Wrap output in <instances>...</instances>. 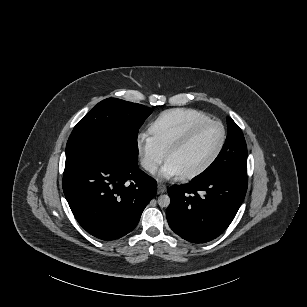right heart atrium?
<instances>
[{"label":"right heart atrium","instance_id":"d8ad5b80","mask_svg":"<svg viewBox=\"0 0 307 307\" xmlns=\"http://www.w3.org/2000/svg\"><path fill=\"white\" fill-rule=\"evenodd\" d=\"M136 149L144 169L154 174L164 160L162 149L153 138L144 133L137 136Z\"/></svg>","mask_w":307,"mask_h":307}]
</instances>
